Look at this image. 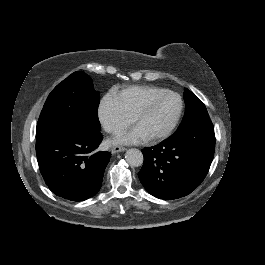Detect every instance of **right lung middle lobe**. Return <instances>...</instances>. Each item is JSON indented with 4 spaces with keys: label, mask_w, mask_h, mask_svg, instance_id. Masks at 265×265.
<instances>
[{
    "label": "right lung middle lobe",
    "mask_w": 265,
    "mask_h": 265,
    "mask_svg": "<svg viewBox=\"0 0 265 265\" xmlns=\"http://www.w3.org/2000/svg\"><path fill=\"white\" fill-rule=\"evenodd\" d=\"M99 96L87 74L82 71L72 73L49 94L37 123L36 135L63 123L100 130Z\"/></svg>",
    "instance_id": "right-lung-middle-lobe-1"
}]
</instances>
